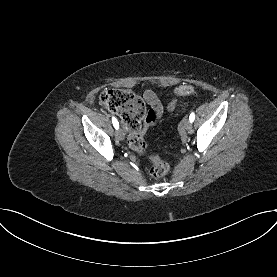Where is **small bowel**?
Segmentation results:
<instances>
[{"label":"small bowel","instance_id":"obj_1","mask_svg":"<svg viewBox=\"0 0 277 277\" xmlns=\"http://www.w3.org/2000/svg\"><path fill=\"white\" fill-rule=\"evenodd\" d=\"M144 98L154 111L159 113L161 116L163 115L164 105L158 94H156L152 90H146L144 92ZM174 106H175V100H172L166 105V109L168 111H171L174 109ZM149 126H150V124H147V123H145L143 125V127H142L143 133L148 129Z\"/></svg>","mask_w":277,"mask_h":277}]
</instances>
